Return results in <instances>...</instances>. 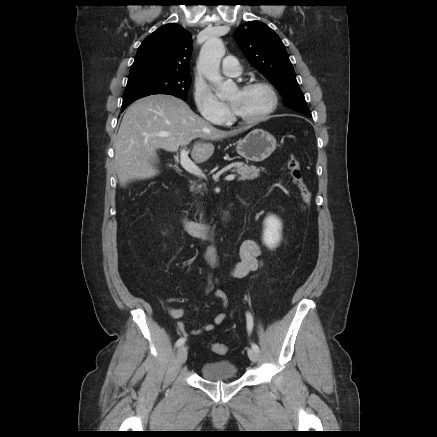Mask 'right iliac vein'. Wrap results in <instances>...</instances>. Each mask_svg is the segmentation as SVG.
<instances>
[{
    "label": "right iliac vein",
    "mask_w": 437,
    "mask_h": 437,
    "mask_svg": "<svg viewBox=\"0 0 437 437\" xmlns=\"http://www.w3.org/2000/svg\"><path fill=\"white\" fill-rule=\"evenodd\" d=\"M188 356V350L186 346H181L177 351V362L182 365L186 362Z\"/></svg>",
    "instance_id": "63e3f726"
}]
</instances>
